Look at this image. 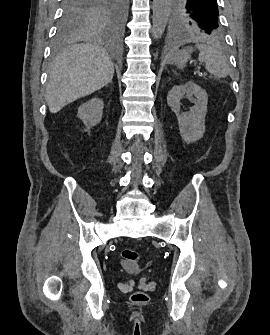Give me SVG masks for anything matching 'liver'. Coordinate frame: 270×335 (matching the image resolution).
I'll return each mask as SVG.
<instances>
[{"label":"liver","instance_id":"1","mask_svg":"<svg viewBox=\"0 0 270 335\" xmlns=\"http://www.w3.org/2000/svg\"><path fill=\"white\" fill-rule=\"evenodd\" d=\"M113 76V62L105 48L99 44L70 46L56 56L49 72L45 100L51 114L100 90Z\"/></svg>","mask_w":270,"mask_h":335}]
</instances>
